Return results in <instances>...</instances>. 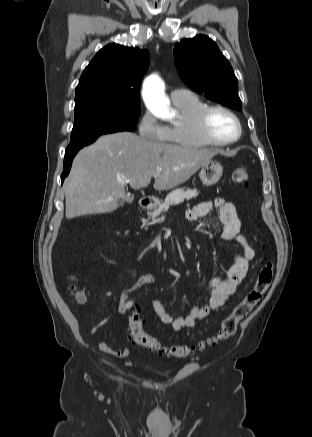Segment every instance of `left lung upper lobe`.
Listing matches in <instances>:
<instances>
[{
    "mask_svg": "<svg viewBox=\"0 0 312 437\" xmlns=\"http://www.w3.org/2000/svg\"><path fill=\"white\" fill-rule=\"evenodd\" d=\"M174 58L180 77L192 90L224 106L242 109L233 69L208 36L183 39L174 46Z\"/></svg>",
    "mask_w": 312,
    "mask_h": 437,
    "instance_id": "left-lung-upper-lobe-1",
    "label": "left lung upper lobe"
}]
</instances>
